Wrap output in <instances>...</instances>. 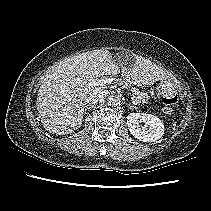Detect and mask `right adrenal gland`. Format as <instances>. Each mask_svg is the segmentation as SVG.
Wrapping results in <instances>:
<instances>
[{"mask_svg": "<svg viewBox=\"0 0 211 211\" xmlns=\"http://www.w3.org/2000/svg\"><path fill=\"white\" fill-rule=\"evenodd\" d=\"M92 107H94L93 104L87 105L86 108H85V112H84V113L86 114L87 110H89V109L92 108Z\"/></svg>", "mask_w": 211, "mask_h": 211, "instance_id": "1", "label": "right adrenal gland"}]
</instances>
